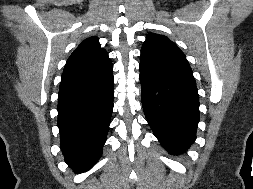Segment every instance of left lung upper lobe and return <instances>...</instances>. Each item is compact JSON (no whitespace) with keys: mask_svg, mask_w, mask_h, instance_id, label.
<instances>
[{"mask_svg":"<svg viewBox=\"0 0 253 189\" xmlns=\"http://www.w3.org/2000/svg\"><path fill=\"white\" fill-rule=\"evenodd\" d=\"M140 64L195 81L185 54L166 36L149 33L141 49Z\"/></svg>","mask_w":253,"mask_h":189,"instance_id":"1","label":"left lung upper lobe"}]
</instances>
